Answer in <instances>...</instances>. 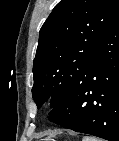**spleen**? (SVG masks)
I'll list each match as a JSON object with an SVG mask.
<instances>
[{
    "label": "spleen",
    "instance_id": "3e777b00",
    "mask_svg": "<svg viewBox=\"0 0 119 141\" xmlns=\"http://www.w3.org/2000/svg\"><path fill=\"white\" fill-rule=\"evenodd\" d=\"M82 141H99V140L97 138H95V137H88V136H86V137H84L82 139Z\"/></svg>",
    "mask_w": 119,
    "mask_h": 141
}]
</instances>
